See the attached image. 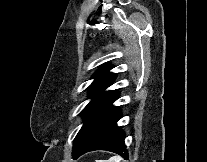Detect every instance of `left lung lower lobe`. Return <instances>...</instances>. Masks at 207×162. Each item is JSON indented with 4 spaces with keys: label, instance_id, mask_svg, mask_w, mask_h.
<instances>
[{
    "label": "left lung lower lobe",
    "instance_id": "0a47b994",
    "mask_svg": "<svg viewBox=\"0 0 207 162\" xmlns=\"http://www.w3.org/2000/svg\"><path fill=\"white\" fill-rule=\"evenodd\" d=\"M118 96L117 92L112 95L91 115L83 126L74 141V159L89 151L107 150L128 160V152L124 143L125 134L117 126L121 112L119 107L112 105Z\"/></svg>",
    "mask_w": 207,
    "mask_h": 162
}]
</instances>
